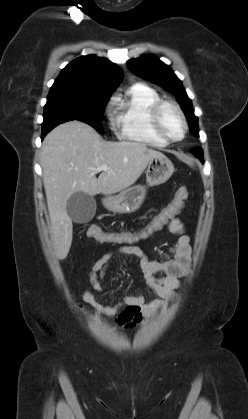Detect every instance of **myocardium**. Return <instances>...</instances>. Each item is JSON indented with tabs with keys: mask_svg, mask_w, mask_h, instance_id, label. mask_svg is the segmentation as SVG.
Listing matches in <instances>:
<instances>
[{
	"mask_svg": "<svg viewBox=\"0 0 248 419\" xmlns=\"http://www.w3.org/2000/svg\"><path fill=\"white\" fill-rule=\"evenodd\" d=\"M167 105L173 107L176 110L183 124L182 135L177 139L169 137L161 127L160 113L162 108ZM149 122L153 132L166 143H177L182 141L185 138L188 131V122L183 110L175 101L172 100L159 99L158 101L153 103L149 110Z\"/></svg>",
	"mask_w": 248,
	"mask_h": 419,
	"instance_id": "f54148a6",
	"label": "myocardium"
}]
</instances>
